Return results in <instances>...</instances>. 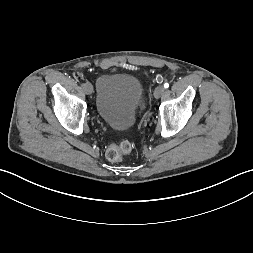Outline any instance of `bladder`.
<instances>
[{"label":"bladder","instance_id":"31cf9c89","mask_svg":"<svg viewBox=\"0 0 253 253\" xmlns=\"http://www.w3.org/2000/svg\"><path fill=\"white\" fill-rule=\"evenodd\" d=\"M142 100L143 86L133 75L106 73L97 80L96 111L112 128H130Z\"/></svg>","mask_w":253,"mask_h":253}]
</instances>
